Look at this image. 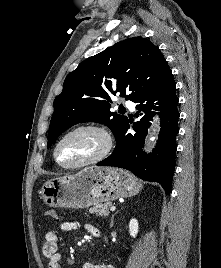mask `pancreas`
I'll list each match as a JSON object with an SVG mask.
<instances>
[{
  "mask_svg": "<svg viewBox=\"0 0 221 268\" xmlns=\"http://www.w3.org/2000/svg\"><path fill=\"white\" fill-rule=\"evenodd\" d=\"M111 206L110 202H106L104 204H96L95 206L88 209L89 213L94 214L96 216H108L109 211L108 208Z\"/></svg>",
  "mask_w": 221,
  "mask_h": 268,
  "instance_id": "pancreas-1",
  "label": "pancreas"
}]
</instances>
